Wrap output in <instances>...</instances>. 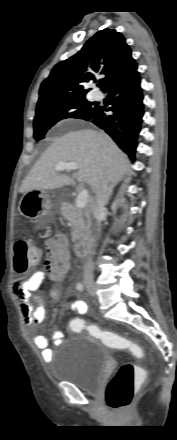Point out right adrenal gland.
<instances>
[{
  "instance_id": "1",
  "label": "right adrenal gland",
  "mask_w": 177,
  "mask_h": 440,
  "mask_svg": "<svg viewBox=\"0 0 177 440\" xmlns=\"http://www.w3.org/2000/svg\"><path fill=\"white\" fill-rule=\"evenodd\" d=\"M118 183H119V180L114 181V182H112V183L110 184V186H109V190H108V196H107V203H108V201H109L111 195L113 194V189H114V187H115Z\"/></svg>"
}]
</instances>
